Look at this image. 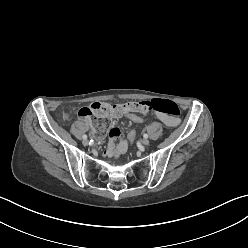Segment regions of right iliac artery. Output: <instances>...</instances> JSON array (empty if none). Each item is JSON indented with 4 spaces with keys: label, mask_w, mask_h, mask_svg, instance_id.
Instances as JSON below:
<instances>
[{
    "label": "right iliac artery",
    "mask_w": 248,
    "mask_h": 248,
    "mask_svg": "<svg viewBox=\"0 0 248 248\" xmlns=\"http://www.w3.org/2000/svg\"><path fill=\"white\" fill-rule=\"evenodd\" d=\"M83 139H87V135H83Z\"/></svg>",
    "instance_id": "82829eb1"
}]
</instances>
